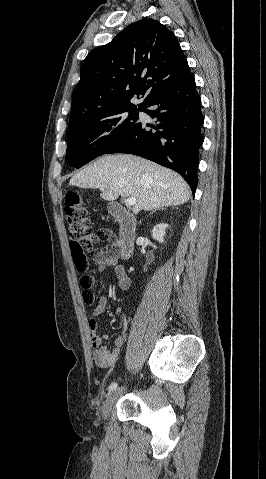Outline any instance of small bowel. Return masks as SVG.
<instances>
[{"instance_id": "c3829d8e", "label": "small bowel", "mask_w": 266, "mask_h": 479, "mask_svg": "<svg viewBox=\"0 0 266 479\" xmlns=\"http://www.w3.org/2000/svg\"><path fill=\"white\" fill-rule=\"evenodd\" d=\"M94 263L97 270L101 271L107 267L115 269L118 287L126 290L130 286V278L127 275L124 267L118 262V259L112 254L111 246L97 251L94 254ZM107 307V298L101 296L97 305L93 309V318L89 321V335L92 345V358L95 364L100 368H109L113 366L118 360L122 347L125 342V336L120 335L114 341V347L108 349L103 346V341L109 338V334L99 331V324L97 317L105 312ZM115 315L121 318L125 317V312L121 306L116 307Z\"/></svg>"}]
</instances>
